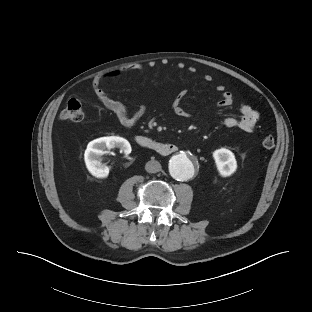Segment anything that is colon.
Here are the masks:
<instances>
[{"instance_id":"1","label":"colon","mask_w":312,"mask_h":312,"mask_svg":"<svg viewBox=\"0 0 312 312\" xmlns=\"http://www.w3.org/2000/svg\"><path fill=\"white\" fill-rule=\"evenodd\" d=\"M84 118L82 103L77 98H71L66 103V106L59 114V119L62 121L79 122ZM262 145L266 149H271L275 146V139L272 135H266L262 140Z\"/></svg>"}]
</instances>
